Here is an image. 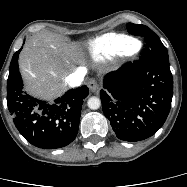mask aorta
Returning a JSON list of instances; mask_svg holds the SVG:
<instances>
[{
  "label": "aorta",
  "instance_id": "aorta-1",
  "mask_svg": "<svg viewBox=\"0 0 187 187\" xmlns=\"http://www.w3.org/2000/svg\"><path fill=\"white\" fill-rule=\"evenodd\" d=\"M87 105H88V107H89L90 109L96 110V109L100 108V106H101V101H100V99H99L98 97H94V96H93V97H90V98L88 99Z\"/></svg>",
  "mask_w": 187,
  "mask_h": 187
}]
</instances>
